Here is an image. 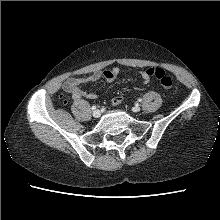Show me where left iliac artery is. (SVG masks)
<instances>
[{
	"mask_svg": "<svg viewBox=\"0 0 220 220\" xmlns=\"http://www.w3.org/2000/svg\"><path fill=\"white\" fill-rule=\"evenodd\" d=\"M141 101H142V99H141V98H139V99H138V102H141Z\"/></svg>",
	"mask_w": 220,
	"mask_h": 220,
	"instance_id": "left-iliac-artery-1",
	"label": "left iliac artery"
}]
</instances>
